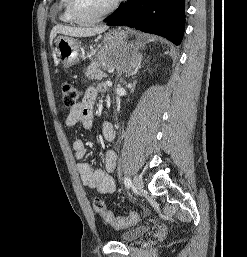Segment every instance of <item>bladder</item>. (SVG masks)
Segmentation results:
<instances>
[{
	"instance_id": "1",
	"label": "bladder",
	"mask_w": 247,
	"mask_h": 257,
	"mask_svg": "<svg viewBox=\"0 0 247 257\" xmlns=\"http://www.w3.org/2000/svg\"><path fill=\"white\" fill-rule=\"evenodd\" d=\"M149 230L146 225L136 226L124 231L119 236V240L124 243H132L142 238Z\"/></svg>"
}]
</instances>
